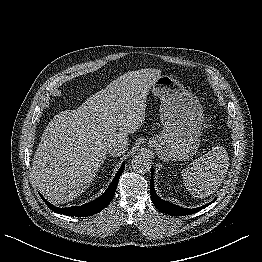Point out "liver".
<instances>
[{"instance_id": "obj_1", "label": "liver", "mask_w": 262, "mask_h": 262, "mask_svg": "<svg viewBox=\"0 0 262 262\" xmlns=\"http://www.w3.org/2000/svg\"><path fill=\"white\" fill-rule=\"evenodd\" d=\"M162 72L129 71L89 97L79 108L59 112L35 152L31 183L54 204L80 196L103 164L108 146L128 142L145 120L149 89Z\"/></svg>"}]
</instances>
